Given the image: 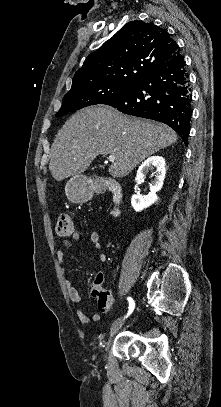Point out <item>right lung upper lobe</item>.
Returning a JSON list of instances; mask_svg holds the SVG:
<instances>
[{
    "mask_svg": "<svg viewBox=\"0 0 221 407\" xmlns=\"http://www.w3.org/2000/svg\"><path fill=\"white\" fill-rule=\"evenodd\" d=\"M178 49L166 30L143 21H131L88 55L75 73L70 91L102 83L136 84L171 59Z\"/></svg>",
    "mask_w": 221,
    "mask_h": 407,
    "instance_id": "cb5924a9",
    "label": "right lung upper lobe"
}]
</instances>
